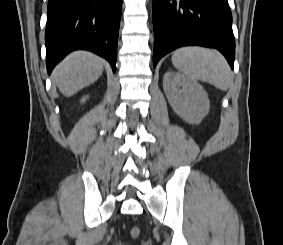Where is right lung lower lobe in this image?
<instances>
[{
  "instance_id": "right-lung-lower-lobe-1",
  "label": "right lung lower lobe",
  "mask_w": 283,
  "mask_h": 245,
  "mask_svg": "<svg viewBox=\"0 0 283 245\" xmlns=\"http://www.w3.org/2000/svg\"><path fill=\"white\" fill-rule=\"evenodd\" d=\"M122 0H48L45 32L48 74L68 53L92 51L116 71Z\"/></svg>"
}]
</instances>
